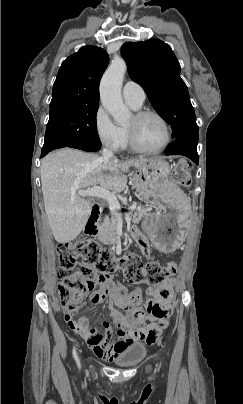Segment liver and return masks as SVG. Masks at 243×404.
Masks as SVG:
<instances>
[{
	"instance_id": "obj_1",
	"label": "liver",
	"mask_w": 243,
	"mask_h": 404,
	"mask_svg": "<svg viewBox=\"0 0 243 404\" xmlns=\"http://www.w3.org/2000/svg\"><path fill=\"white\" fill-rule=\"evenodd\" d=\"M149 158L119 162L115 158L104 160L95 154L64 148L45 156L41 162V188L44 208L52 234L59 244H69L81 234L91 214L89 202L78 190L100 184L105 190L123 192L131 166L140 168ZM110 174H104V172Z\"/></svg>"
}]
</instances>
